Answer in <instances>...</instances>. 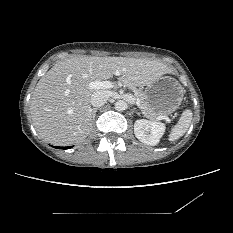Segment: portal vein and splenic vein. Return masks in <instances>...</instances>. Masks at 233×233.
<instances>
[{"label": "portal vein and splenic vein", "mask_w": 233, "mask_h": 233, "mask_svg": "<svg viewBox=\"0 0 233 233\" xmlns=\"http://www.w3.org/2000/svg\"><path fill=\"white\" fill-rule=\"evenodd\" d=\"M113 86H114L113 83L110 81H100V80H95L89 84V87L91 89H102V88L107 89V88H112ZM135 103L139 107L140 101L136 100ZM158 119L159 120L164 119L166 121H169V119L165 116H159Z\"/></svg>", "instance_id": "1"}]
</instances>
